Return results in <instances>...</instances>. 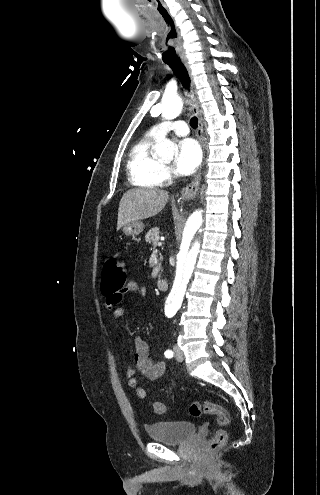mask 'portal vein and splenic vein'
<instances>
[{
  "instance_id": "obj_1",
  "label": "portal vein and splenic vein",
  "mask_w": 320,
  "mask_h": 495,
  "mask_svg": "<svg viewBox=\"0 0 320 495\" xmlns=\"http://www.w3.org/2000/svg\"><path fill=\"white\" fill-rule=\"evenodd\" d=\"M158 245L161 246V243L159 242Z\"/></svg>"
}]
</instances>
